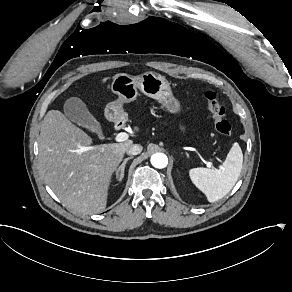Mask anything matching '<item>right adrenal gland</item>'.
<instances>
[{
	"mask_svg": "<svg viewBox=\"0 0 292 292\" xmlns=\"http://www.w3.org/2000/svg\"><path fill=\"white\" fill-rule=\"evenodd\" d=\"M131 159H133L132 156L126 158V159L124 160V162L122 163L121 167L119 168V171L117 172V176H116L117 181L120 182V181L123 179V177H124V169H125V165H126V163H127L129 160H131Z\"/></svg>",
	"mask_w": 292,
	"mask_h": 292,
	"instance_id": "1",
	"label": "right adrenal gland"
}]
</instances>
